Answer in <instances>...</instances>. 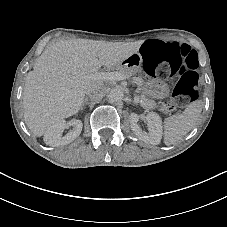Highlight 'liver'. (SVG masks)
<instances>
[{"label": "liver", "mask_w": 227, "mask_h": 227, "mask_svg": "<svg viewBox=\"0 0 227 227\" xmlns=\"http://www.w3.org/2000/svg\"><path fill=\"white\" fill-rule=\"evenodd\" d=\"M141 42L112 43L88 39L53 42L26 75L24 120L39 137L59 119L79 112L86 89L103 82L93 77L102 66L112 68L139 51Z\"/></svg>", "instance_id": "obj_1"}]
</instances>
